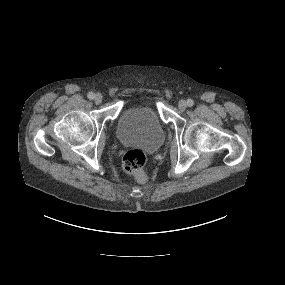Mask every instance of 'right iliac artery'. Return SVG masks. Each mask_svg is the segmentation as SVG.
<instances>
[{"label":"right iliac artery","mask_w":285,"mask_h":285,"mask_svg":"<svg viewBox=\"0 0 285 285\" xmlns=\"http://www.w3.org/2000/svg\"><path fill=\"white\" fill-rule=\"evenodd\" d=\"M87 96L90 100H92L94 99L95 94L93 92H89Z\"/></svg>","instance_id":"82829eb1"}]
</instances>
